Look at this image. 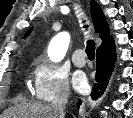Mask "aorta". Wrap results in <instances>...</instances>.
I'll use <instances>...</instances> for the list:
<instances>
[{
	"label": "aorta",
	"mask_w": 133,
	"mask_h": 118,
	"mask_svg": "<svg viewBox=\"0 0 133 118\" xmlns=\"http://www.w3.org/2000/svg\"><path fill=\"white\" fill-rule=\"evenodd\" d=\"M70 35L68 32H61L53 39V49L49 53L50 59L54 62L61 61L69 47Z\"/></svg>",
	"instance_id": "762f6f07"
}]
</instances>
